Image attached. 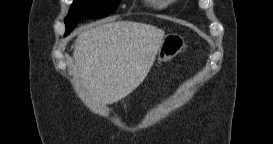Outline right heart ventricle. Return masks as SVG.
Returning a JSON list of instances; mask_svg holds the SVG:
<instances>
[{
    "instance_id": "right-heart-ventricle-1",
    "label": "right heart ventricle",
    "mask_w": 273,
    "mask_h": 144,
    "mask_svg": "<svg viewBox=\"0 0 273 144\" xmlns=\"http://www.w3.org/2000/svg\"><path fill=\"white\" fill-rule=\"evenodd\" d=\"M147 6L153 10H159L166 5V2L159 1V0H148Z\"/></svg>"
}]
</instances>
